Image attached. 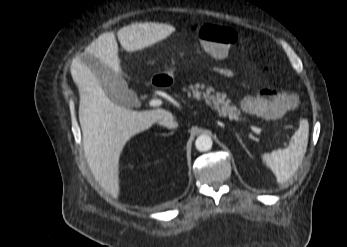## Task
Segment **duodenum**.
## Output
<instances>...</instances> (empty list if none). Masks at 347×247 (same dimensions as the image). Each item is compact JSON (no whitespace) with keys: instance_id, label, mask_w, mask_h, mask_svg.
Segmentation results:
<instances>
[{"instance_id":"410a0bca","label":"duodenum","mask_w":347,"mask_h":247,"mask_svg":"<svg viewBox=\"0 0 347 247\" xmlns=\"http://www.w3.org/2000/svg\"><path fill=\"white\" fill-rule=\"evenodd\" d=\"M151 84L154 87H165L167 85L163 76H155Z\"/></svg>"}]
</instances>
